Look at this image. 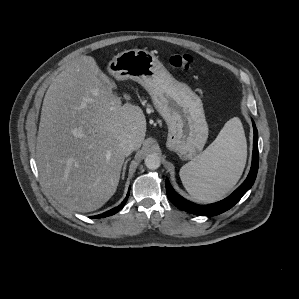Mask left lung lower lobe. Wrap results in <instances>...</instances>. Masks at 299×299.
Wrapping results in <instances>:
<instances>
[{"mask_svg":"<svg viewBox=\"0 0 299 299\" xmlns=\"http://www.w3.org/2000/svg\"><path fill=\"white\" fill-rule=\"evenodd\" d=\"M254 129V139H253V155H252V165L250 169V173L246 180L227 198L221 200L217 203L209 204V205H197L192 203L185 198L181 197L179 194L175 192V190L170 185L169 181L166 179L165 186L167 191V196L169 200L180 210L202 216H214L221 214L231 207H233L241 197L252 187L259 165V153H258V131L253 122Z\"/></svg>","mask_w":299,"mask_h":299,"instance_id":"left-lung-lower-lobe-1","label":"left lung lower lobe"}]
</instances>
